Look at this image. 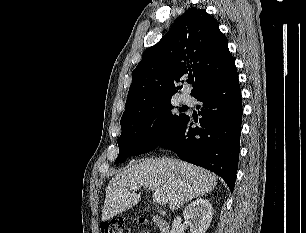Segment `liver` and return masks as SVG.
<instances>
[{
    "label": "liver",
    "mask_w": 306,
    "mask_h": 233,
    "mask_svg": "<svg viewBox=\"0 0 306 233\" xmlns=\"http://www.w3.org/2000/svg\"><path fill=\"white\" fill-rule=\"evenodd\" d=\"M216 184L214 174L187 162L170 158L145 159L110 180L102 221L130 209L141 200L140 194L129 192L131 186H144L164 194L173 211L185 202L209 193Z\"/></svg>",
    "instance_id": "6515ba94"
}]
</instances>
